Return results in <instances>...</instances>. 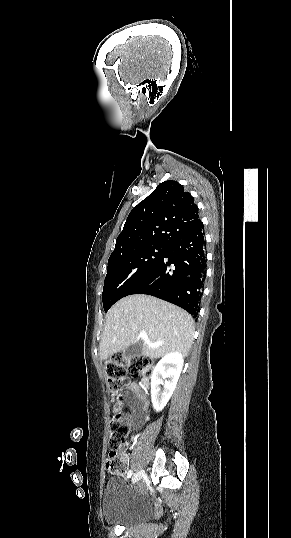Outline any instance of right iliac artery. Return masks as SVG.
<instances>
[{"mask_svg":"<svg viewBox=\"0 0 291 538\" xmlns=\"http://www.w3.org/2000/svg\"><path fill=\"white\" fill-rule=\"evenodd\" d=\"M131 476H132V470H130V471L128 472V478H130Z\"/></svg>","mask_w":291,"mask_h":538,"instance_id":"1","label":"right iliac artery"}]
</instances>
